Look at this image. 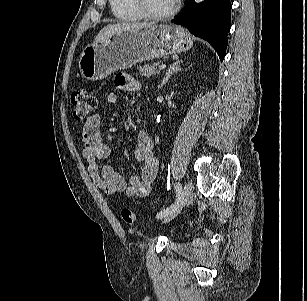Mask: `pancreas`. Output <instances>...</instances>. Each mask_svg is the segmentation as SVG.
<instances>
[{"instance_id":"obj_1","label":"pancreas","mask_w":307,"mask_h":301,"mask_svg":"<svg viewBox=\"0 0 307 301\" xmlns=\"http://www.w3.org/2000/svg\"><path fill=\"white\" fill-rule=\"evenodd\" d=\"M138 70L140 73L146 77H152L153 75L159 74V71L156 69L155 65L146 64L144 66H139Z\"/></svg>"}]
</instances>
